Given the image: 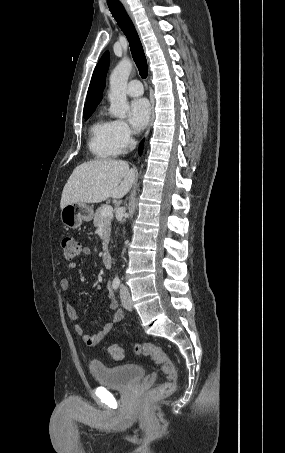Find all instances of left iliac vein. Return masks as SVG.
<instances>
[{
  "label": "left iliac vein",
  "mask_w": 285,
  "mask_h": 453,
  "mask_svg": "<svg viewBox=\"0 0 285 453\" xmlns=\"http://www.w3.org/2000/svg\"><path fill=\"white\" fill-rule=\"evenodd\" d=\"M120 299H121V302H122V305L124 306V308L131 311L132 310V300H131L130 293L125 285L121 286Z\"/></svg>",
  "instance_id": "obj_1"
}]
</instances>
